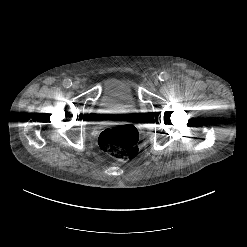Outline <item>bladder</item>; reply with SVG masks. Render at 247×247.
I'll use <instances>...</instances> for the list:
<instances>
[{"label": "bladder", "instance_id": "1", "mask_svg": "<svg viewBox=\"0 0 247 247\" xmlns=\"http://www.w3.org/2000/svg\"><path fill=\"white\" fill-rule=\"evenodd\" d=\"M136 99L132 83L125 78L110 77L105 81L99 100L101 110H112L115 107L131 109L135 107Z\"/></svg>", "mask_w": 247, "mask_h": 247}]
</instances>
